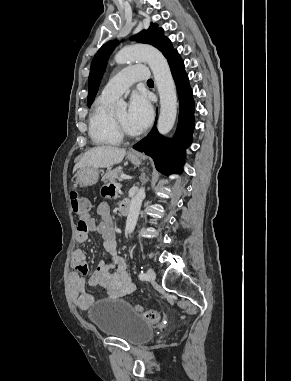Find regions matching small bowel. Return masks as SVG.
I'll return each instance as SVG.
<instances>
[{
    "label": "small bowel",
    "mask_w": 291,
    "mask_h": 381,
    "mask_svg": "<svg viewBox=\"0 0 291 381\" xmlns=\"http://www.w3.org/2000/svg\"><path fill=\"white\" fill-rule=\"evenodd\" d=\"M96 215L100 221L90 219L86 230H81L80 223L78 224L75 241L78 244L86 242L92 232L100 235L105 251L111 256V261L100 262L97 270L90 277L89 284L102 289L109 299H117L133 292L135 284L127 270L125 260L117 254L116 237L108 204L104 202L98 204ZM71 264L73 271L68 276L70 295L80 310H86L94 303L95 296L86 291L84 275L89 272V265L81 249L74 250Z\"/></svg>",
    "instance_id": "1"
}]
</instances>
